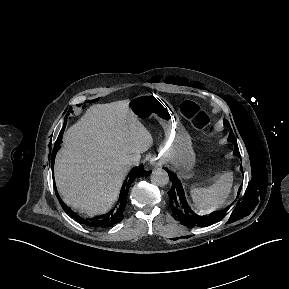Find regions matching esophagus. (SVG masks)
<instances>
[{"instance_id":"obj_1","label":"esophagus","mask_w":289,"mask_h":289,"mask_svg":"<svg viewBox=\"0 0 289 289\" xmlns=\"http://www.w3.org/2000/svg\"><path fill=\"white\" fill-rule=\"evenodd\" d=\"M153 164H154L155 166L159 165V163L157 162L156 159L153 160Z\"/></svg>"}]
</instances>
